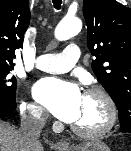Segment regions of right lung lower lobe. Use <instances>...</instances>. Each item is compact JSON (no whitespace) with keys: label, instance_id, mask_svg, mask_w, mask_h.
I'll list each match as a JSON object with an SVG mask.
<instances>
[{"label":"right lung lower lobe","instance_id":"right-lung-lower-lobe-1","mask_svg":"<svg viewBox=\"0 0 131 151\" xmlns=\"http://www.w3.org/2000/svg\"><path fill=\"white\" fill-rule=\"evenodd\" d=\"M16 109L15 102L0 100V118L9 116Z\"/></svg>","mask_w":131,"mask_h":151}]
</instances>
